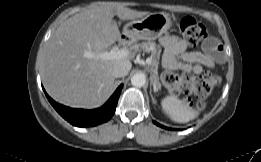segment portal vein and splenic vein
Returning a JSON list of instances; mask_svg holds the SVG:
<instances>
[{"label":"portal vein and splenic vein","mask_w":261,"mask_h":162,"mask_svg":"<svg viewBox=\"0 0 261 162\" xmlns=\"http://www.w3.org/2000/svg\"><path fill=\"white\" fill-rule=\"evenodd\" d=\"M129 55V50L126 48L119 49L118 47H113L110 51H103L98 54L88 53V58H97L101 60H114V59H122ZM152 59L147 58L146 63L148 65L151 64Z\"/></svg>","instance_id":"obj_1"}]
</instances>
